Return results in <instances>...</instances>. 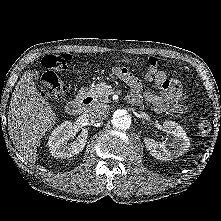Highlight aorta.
<instances>
[{
  "label": "aorta",
  "mask_w": 221,
  "mask_h": 221,
  "mask_svg": "<svg viewBox=\"0 0 221 221\" xmlns=\"http://www.w3.org/2000/svg\"><path fill=\"white\" fill-rule=\"evenodd\" d=\"M112 125L118 130H127L130 128L132 123V118L126 110H117L112 119Z\"/></svg>",
  "instance_id": "1"
}]
</instances>
